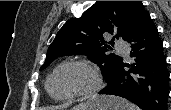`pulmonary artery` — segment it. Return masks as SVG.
Here are the masks:
<instances>
[{"instance_id": "obj_1", "label": "pulmonary artery", "mask_w": 171, "mask_h": 110, "mask_svg": "<svg viewBox=\"0 0 171 110\" xmlns=\"http://www.w3.org/2000/svg\"><path fill=\"white\" fill-rule=\"evenodd\" d=\"M116 49L122 56H124L126 58L129 57L128 46L123 41H118L116 43Z\"/></svg>"}]
</instances>
